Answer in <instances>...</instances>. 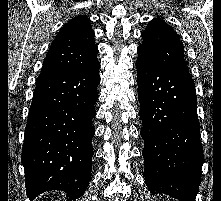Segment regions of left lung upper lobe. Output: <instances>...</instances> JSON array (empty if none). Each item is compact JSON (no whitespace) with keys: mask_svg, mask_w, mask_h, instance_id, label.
<instances>
[{"mask_svg":"<svg viewBox=\"0 0 221 201\" xmlns=\"http://www.w3.org/2000/svg\"><path fill=\"white\" fill-rule=\"evenodd\" d=\"M141 37L143 43L137 49L138 59L159 69L191 77L184 59V47L172 27L155 18Z\"/></svg>","mask_w":221,"mask_h":201,"instance_id":"obj_1","label":"left lung upper lobe"}]
</instances>
